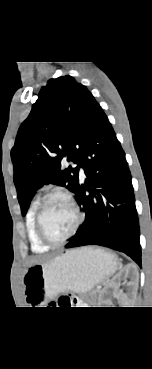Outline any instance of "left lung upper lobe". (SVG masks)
I'll list each match as a JSON object with an SVG mask.
<instances>
[{"mask_svg": "<svg viewBox=\"0 0 152 369\" xmlns=\"http://www.w3.org/2000/svg\"><path fill=\"white\" fill-rule=\"evenodd\" d=\"M99 106L87 88L69 75L50 79L42 87L11 150L23 216L36 190L44 184L76 192L80 154ZM63 158L78 167L61 169Z\"/></svg>", "mask_w": 152, "mask_h": 369, "instance_id": "5c2ea615", "label": "left lung upper lobe"}]
</instances>
